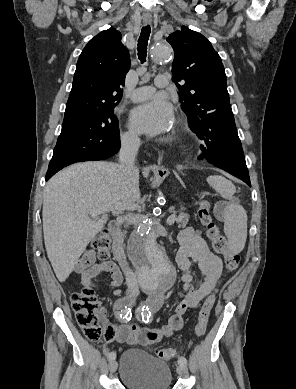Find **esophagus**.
Returning a JSON list of instances; mask_svg holds the SVG:
<instances>
[{"label": "esophagus", "mask_w": 296, "mask_h": 389, "mask_svg": "<svg viewBox=\"0 0 296 389\" xmlns=\"http://www.w3.org/2000/svg\"><path fill=\"white\" fill-rule=\"evenodd\" d=\"M150 22H151L150 19H144L145 24H149ZM151 168L156 169V168H163V167H160L158 165H152Z\"/></svg>", "instance_id": "esophagus-1"}]
</instances>
